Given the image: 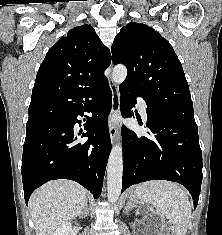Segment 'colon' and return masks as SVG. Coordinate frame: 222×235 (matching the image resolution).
<instances>
[{
    "label": "colon",
    "instance_id": "1",
    "mask_svg": "<svg viewBox=\"0 0 222 235\" xmlns=\"http://www.w3.org/2000/svg\"><path fill=\"white\" fill-rule=\"evenodd\" d=\"M163 235H176L175 229H174L173 225L169 224V225L165 228V230H164V232H163Z\"/></svg>",
    "mask_w": 222,
    "mask_h": 235
}]
</instances>
